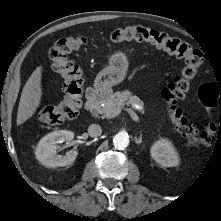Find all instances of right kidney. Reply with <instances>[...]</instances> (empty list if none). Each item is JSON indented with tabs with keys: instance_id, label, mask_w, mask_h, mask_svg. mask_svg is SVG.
Wrapping results in <instances>:
<instances>
[{
	"instance_id": "1",
	"label": "right kidney",
	"mask_w": 221,
	"mask_h": 221,
	"mask_svg": "<svg viewBox=\"0 0 221 221\" xmlns=\"http://www.w3.org/2000/svg\"><path fill=\"white\" fill-rule=\"evenodd\" d=\"M74 138V133L67 130L54 131L44 136L36 147V158L41 164L47 167H63L71 165L77 155V150H72L65 156L57 155L56 150L58 144L65 141H71Z\"/></svg>"
}]
</instances>
